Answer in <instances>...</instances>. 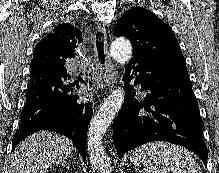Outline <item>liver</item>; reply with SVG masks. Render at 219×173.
I'll list each match as a JSON object with an SVG mask.
<instances>
[{
	"mask_svg": "<svg viewBox=\"0 0 219 173\" xmlns=\"http://www.w3.org/2000/svg\"><path fill=\"white\" fill-rule=\"evenodd\" d=\"M75 149L71 140L50 131L24 139L12 153L9 173H48Z\"/></svg>",
	"mask_w": 219,
	"mask_h": 173,
	"instance_id": "obj_1",
	"label": "liver"
}]
</instances>
